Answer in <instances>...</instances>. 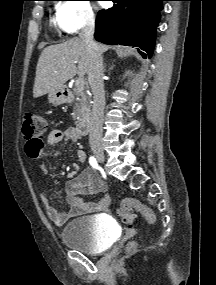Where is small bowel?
Wrapping results in <instances>:
<instances>
[{
  "label": "small bowel",
  "instance_id": "1",
  "mask_svg": "<svg viewBox=\"0 0 216 285\" xmlns=\"http://www.w3.org/2000/svg\"><path fill=\"white\" fill-rule=\"evenodd\" d=\"M81 138L82 134L75 127H68L64 130L53 129L47 137V144L55 146L61 142L78 143ZM75 157L78 162H84L86 153L83 149L79 148L76 150ZM42 170L46 173L49 172L47 165H43ZM103 191H105L104 183L92 169L87 168L66 182L65 200L68 203V210L66 212L59 211L45 193L41 194V201L50 220L55 225L62 226L76 216L106 210L111 201L108 195H105L95 203L85 202L82 198L84 195L97 194Z\"/></svg>",
  "mask_w": 216,
  "mask_h": 285
}]
</instances>
